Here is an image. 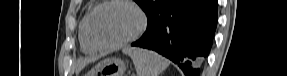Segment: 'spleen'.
Returning <instances> with one entry per match:
<instances>
[{
    "label": "spleen",
    "instance_id": "1",
    "mask_svg": "<svg viewBox=\"0 0 287 76\" xmlns=\"http://www.w3.org/2000/svg\"><path fill=\"white\" fill-rule=\"evenodd\" d=\"M123 53L129 55L136 68L137 76H158L169 66V61L146 49L127 47Z\"/></svg>",
    "mask_w": 287,
    "mask_h": 76
}]
</instances>
